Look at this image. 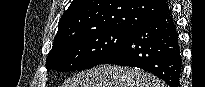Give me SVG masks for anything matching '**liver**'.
Returning a JSON list of instances; mask_svg holds the SVG:
<instances>
[{"instance_id": "liver-1", "label": "liver", "mask_w": 205, "mask_h": 87, "mask_svg": "<svg viewBox=\"0 0 205 87\" xmlns=\"http://www.w3.org/2000/svg\"><path fill=\"white\" fill-rule=\"evenodd\" d=\"M64 87H164L161 81L142 70L99 65L80 72Z\"/></svg>"}]
</instances>
